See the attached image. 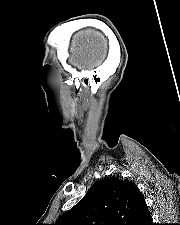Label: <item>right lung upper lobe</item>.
Here are the masks:
<instances>
[{
	"mask_svg": "<svg viewBox=\"0 0 180 225\" xmlns=\"http://www.w3.org/2000/svg\"><path fill=\"white\" fill-rule=\"evenodd\" d=\"M143 195L132 181L108 177L95 182L84 198L54 225H149Z\"/></svg>",
	"mask_w": 180,
	"mask_h": 225,
	"instance_id": "obj_1",
	"label": "right lung upper lobe"
}]
</instances>
